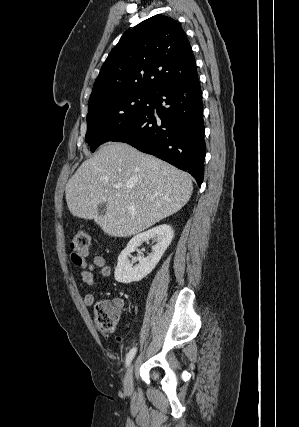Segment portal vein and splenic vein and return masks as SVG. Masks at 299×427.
Instances as JSON below:
<instances>
[{
    "mask_svg": "<svg viewBox=\"0 0 299 427\" xmlns=\"http://www.w3.org/2000/svg\"><path fill=\"white\" fill-rule=\"evenodd\" d=\"M129 208H130V209H134V207H133V206H130Z\"/></svg>",
    "mask_w": 299,
    "mask_h": 427,
    "instance_id": "portal-vein-and-splenic-vein-1",
    "label": "portal vein and splenic vein"
}]
</instances>
